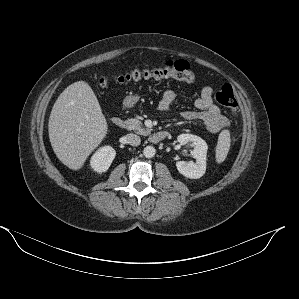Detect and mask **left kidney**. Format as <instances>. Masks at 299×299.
I'll return each mask as SVG.
<instances>
[{
    "instance_id": "1",
    "label": "left kidney",
    "mask_w": 299,
    "mask_h": 299,
    "mask_svg": "<svg viewBox=\"0 0 299 299\" xmlns=\"http://www.w3.org/2000/svg\"><path fill=\"white\" fill-rule=\"evenodd\" d=\"M177 140L181 145L190 144L193 147L191 155L196 159V162L177 161L176 167L179 173L190 179L202 177L206 171L207 143L193 134H181Z\"/></svg>"
}]
</instances>
